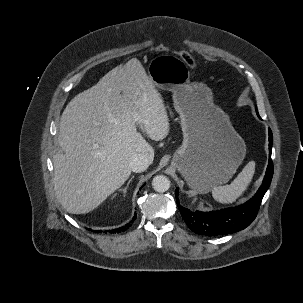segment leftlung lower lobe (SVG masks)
Masks as SVG:
<instances>
[{
	"label": "left lung lower lobe",
	"instance_id": "left-lung-lower-lobe-1",
	"mask_svg": "<svg viewBox=\"0 0 303 303\" xmlns=\"http://www.w3.org/2000/svg\"><path fill=\"white\" fill-rule=\"evenodd\" d=\"M272 142V132L269 129V162L265 177L257 193L243 205L212 212H194L179 204L178 189H176L175 196L178 208L184 221L193 232L205 236L227 235L240 231L252 223L273 176Z\"/></svg>",
	"mask_w": 303,
	"mask_h": 303
}]
</instances>
